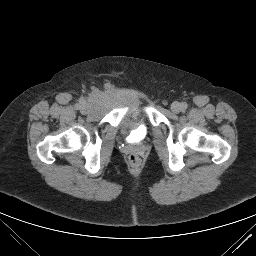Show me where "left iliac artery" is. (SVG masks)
<instances>
[{
    "instance_id": "obj_1",
    "label": "left iliac artery",
    "mask_w": 256,
    "mask_h": 256,
    "mask_svg": "<svg viewBox=\"0 0 256 256\" xmlns=\"http://www.w3.org/2000/svg\"><path fill=\"white\" fill-rule=\"evenodd\" d=\"M187 107H188L187 103H185V102L181 103L182 110H186Z\"/></svg>"
}]
</instances>
